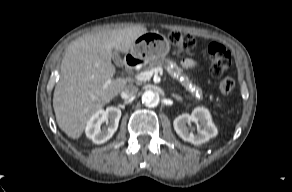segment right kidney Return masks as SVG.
Listing matches in <instances>:
<instances>
[{
  "label": "right kidney",
  "instance_id": "right-kidney-1",
  "mask_svg": "<svg viewBox=\"0 0 292 192\" xmlns=\"http://www.w3.org/2000/svg\"><path fill=\"white\" fill-rule=\"evenodd\" d=\"M121 117V110L116 107H108L106 110L97 111L86 125V135L95 144L108 141L116 132ZM106 123L107 126H102Z\"/></svg>",
  "mask_w": 292,
  "mask_h": 192
}]
</instances>
